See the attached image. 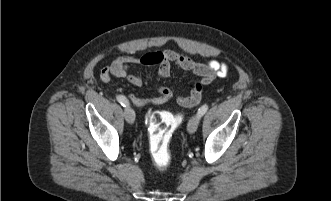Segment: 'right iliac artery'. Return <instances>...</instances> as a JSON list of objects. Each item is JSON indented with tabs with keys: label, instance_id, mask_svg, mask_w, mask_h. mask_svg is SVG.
I'll return each instance as SVG.
<instances>
[{
	"label": "right iliac artery",
	"instance_id": "1",
	"mask_svg": "<svg viewBox=\"0 0 331 201\" xmlns=\"http://www.w3.org/2000/svg\"><path fill=\"white\" fill-rule=\"evenodd\" d=\"M117 101L124 107L128 106L129 105V102L127 100V98L123 95H118L116 97Z\"/></svg>",
	"mask_w": 331,
	"mask_h": 201
}]
</instances>
